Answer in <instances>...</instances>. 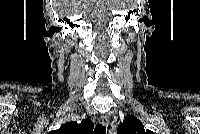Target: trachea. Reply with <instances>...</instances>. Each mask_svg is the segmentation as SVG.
Here are the masks:
<instances>
[{
	"mask_svg": "<svg viewBox=\"0 0 200 134\" xmlns=\"http://www.w3.org/2000/svg\"><path fill=\"white\" fill-rule=\"evenodd\" d=\"M94 134H106V127L98 124L95 127Z\"/></svg>",
	"mask_w": 200,
	"mask_h": 134,
	"instance_id": "1",
	"label": "trachea"
}]
</instances>
